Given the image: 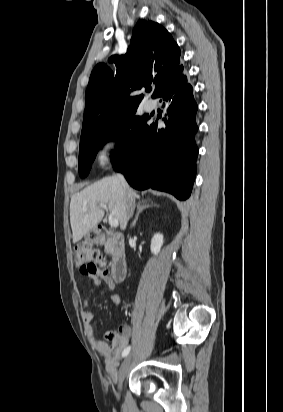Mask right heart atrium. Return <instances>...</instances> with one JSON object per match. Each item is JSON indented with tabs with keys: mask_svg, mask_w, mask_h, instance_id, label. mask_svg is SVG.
Returning a JSON list of instances; mask_svg holds the SVG:
<instances>
[{
	"mask_svg": "<svg viewBox=\"0 0 283 412\" xmlns=\"http://www.w3.org/2000/svg\"><path fill=\"white\" fill-rule=\"evenodd\" d=\"M128 144V134L124 130H117L110 134L101 144L97 158L101 164H108L121 155Z\"/></svg>",
	"mask_w": 283,
	"mask_h": 412,
	"instance_id": "1",
	"label": "right heart atrium"
}]
</instances>
